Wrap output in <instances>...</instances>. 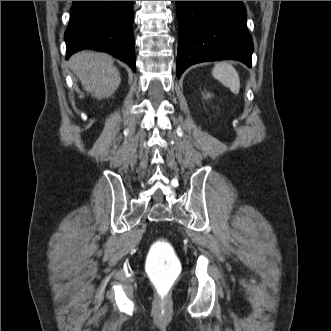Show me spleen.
Segmentation results:
<instances>
[{"label":"spleen","instance_id":"1","mask_svg":"<svg viewBox=\"0 0 331 331\" xmlns=\"http://www.w3.org/2000/svg\"><path fill=\"white\" fill-rule=\"evenodd\" d=\"M212 75L224 86L228 87L232 93H239V76L237 71L231 64H229L228 62L217 63L213 68Z\"/></svg>","mask_w":331,"mask_h":331}]
</instances>
